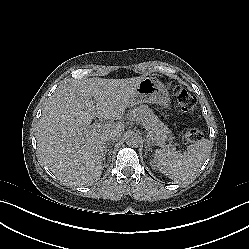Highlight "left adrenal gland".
<instances>
[{"instance_id":"obj_1","label":"left adrenal gland","mask_w":249,"mask_h":249,"mask_svg":"<svg viewBox=\"0 0 249 249\" xmlns=\"http://www.w3.org/2000/svg\"><path fill=\"white\" fill-rule=\"evenodd\" d=\"M147 143H148V147L147 148L150 149L149 141H147Z\"/></svg>"}]
</instances>
